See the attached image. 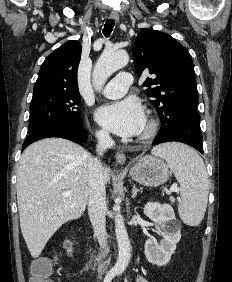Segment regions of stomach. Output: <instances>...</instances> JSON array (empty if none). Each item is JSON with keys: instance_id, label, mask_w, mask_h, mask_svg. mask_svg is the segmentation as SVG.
Returning a JSON list of instances; mask_svg holds the SVG:
<instances>
[{"instance_id": "stomach-1", "label": "stomach", "mask_w": 232, "mask_h": 282, "mask_svg": "<svg viewBox=\"0 0 232 282\" xmlns=\"http://www.w3.org/2000/svg\"><path fill=\"white\" fill-rule=\"evenodd\" d=\"M129 174L135 181L143 185L156 187L168 180L170 171L163 160L146 155L137 160L129 170Z\"/></svg>"}]
</instances>
